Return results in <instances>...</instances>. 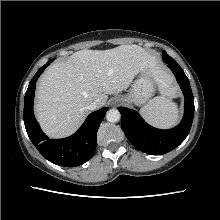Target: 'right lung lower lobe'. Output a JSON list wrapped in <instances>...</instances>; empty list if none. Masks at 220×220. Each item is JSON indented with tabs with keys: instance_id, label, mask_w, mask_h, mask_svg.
<instances>
[{
	"instance_id": "right-lung-lower-lobe-1",
	"label": "right lung lower lobe",
	"mask_w": 220,
	"mask_h": 220,
	"mask_svg": "<svg viewBox=\"0 0 220 220\" xmlns=\"http://www.w3.org/2000/svg\"><path fill=\"white\" fill-rule=\"evenodd\" d=\"M42 66L29 83L24 101V124L27 134L37 150L50 162L64 167H75L87 162L95 153L97 131L108 107L91 113L80 129L64 139H51L41 131L33 114V101L36 81L44 69L52 62Z\"/></svg>"
}]
</instances>
